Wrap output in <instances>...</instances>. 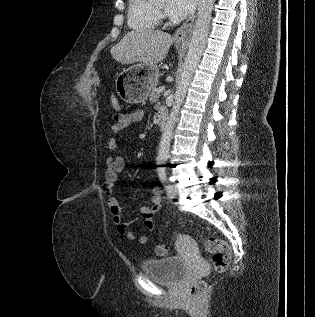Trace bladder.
Masks as SVG:
<instances>
[{"mask_svg":"<svg viewBox=\"0 0 315 317\" xmlns=\"http://www.w3.org/2000/svg\"><path fill=\"white\" fill-rule=\"evenodd\" d=\"M141 267L147 276L166 286L179 285L188 272L186 262L180 257L147 259Z\"/></svg>","mask_w":315,"mask_h":317,"instance_id":"bladder-1","label":"bladder"}]
</instances>
